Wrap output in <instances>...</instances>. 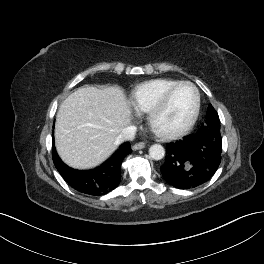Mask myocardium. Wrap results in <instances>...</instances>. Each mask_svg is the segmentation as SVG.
<instances>
[{
  "label": "myocardium",
  "mask_w": 264,
  "mask_h": 264,
  "mask_svg": "<svg viewBox=\"0 0 264 264\" xmlns=\"http://www.w3.org/2000/svg\"><path fill=\"white\" fill-rule=\"evenodd\" d=\"M182 85L191 86L195 92V105L192 114L189 117L188 121L180 128H177L175 130H163L156 125V118L168 104L172 93ZM200 109H201V93L197 85L188 80L178 81L173 85H171L170 87H168L161 96V98L157 101V103L150 109L147 116V124L151 129V131L158 137L165 140L177 139L187 134L193 128L199 117Z\"/></svg>",
  "instance_id": "1"
}]
</instances>
